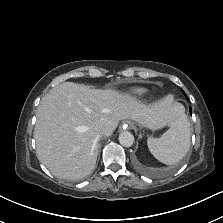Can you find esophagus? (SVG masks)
<instances>
[{
    "label": "esophagus",
    "instance_id": "1",
    "mask_svg": "<svg viewBox=\"0 0 223 223\" xmlns=\"http://www.w3.org/2000/svg\"><path fill=\"white\" fill-rule=\"evenodd\" d=\"M124 129H128L130 126L127 123H124L122 126Z\"/></svg>",
    "mask_w": 223,
    "mask_h": 223
}]
</instances>
